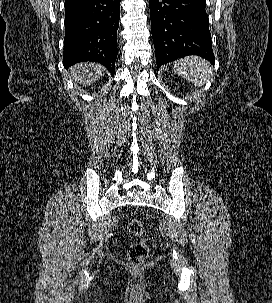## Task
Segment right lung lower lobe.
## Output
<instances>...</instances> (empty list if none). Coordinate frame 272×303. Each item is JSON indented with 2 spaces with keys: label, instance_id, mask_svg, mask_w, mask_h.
<instances>
[{
  "label": "right lung lower lobe",
  "instance_id": "1",
  "mask_svg": "<svg viewBox=\"0 0 272 303\" xmlns=\"http://www.w3.org/2000/svg\"><path fill=\"white\" fill-rule=\"evenodd\" d=\"M120 1L74 0L65 3V68L77 62L97 61L114 75Z\"/></svg>",
  "mask_w": 272,
  "mask_h": 303
}]
</instances>
